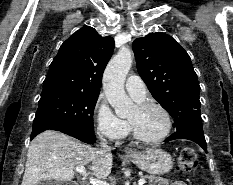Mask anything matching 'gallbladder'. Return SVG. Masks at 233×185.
<instances>
[{
	"label": "gallbladder",
	"mask_w": 233,
	"mask_h": 185,
	"mask_svg": "<svg viewBox=\"0 0 233 185\" xmlns=\"http://www.w3.org/2000/svg\"><path fill=\"white\" fill-rule=\"evenodd\" d=\"M37 185H76V183L44 179V180H41Z\"/></svg>",
	"instance_id": "1"
}]
</instances>
